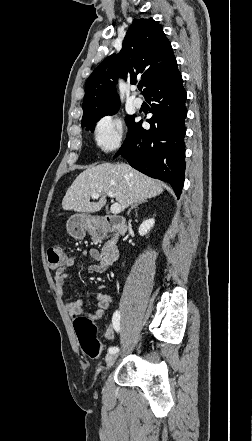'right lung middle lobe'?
Wrapping results in <instances>:
<instances>
[{
	"instance_id": "right-lung-middle-lobe-1",
	"label": "right lung middle lobe",
	"mask_w": 252,
	"mask_h": 441,
	"mask_svg": "<svg viewBox=\"0 0 252 441\" xmlns=\"http://www.w3.org/2000/svg\"><path fill=\"white\" fill-rule=\"evenodd\" d=\"M118 108H119V107L98 114L97 116H95V117L92 118L91 120H89V121L83 123V124H82V127H83V128L86 127L87 130H90L91 132H93V131H94V128H95V123H96L101 117L106 116V115H113V114H115V113L117 112ZM134 117H135L134 115H127V116H126V123H127L128 129H130L131 126L133 125V123H134Z\"/></svg>"
}]
</instances>
